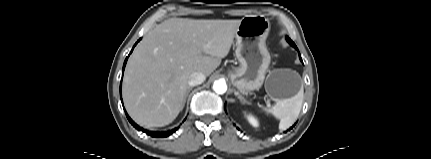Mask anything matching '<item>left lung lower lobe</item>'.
<instances>
[{
  "label": "left lung lower lobe",
  "instance_id": "left-lung-lower-lobe-1",
  "mask_svg": "<svg viewBox=\"0 0 431 159\" xmlns=\"http://www.w3.org/2000/svg\"><path fill=\"white\" fill-rule=\"evenodd\" d=\"M287 39V41L293 46V47H295L296 49H297V47H296V45L290 40V38L289 37H287L286 38ZM298 50V49H297ZM300 56V55H299ZM300 60L302 61V58H301V56H300ZM292 128V127H291Z\"/></svg>",
  "mask_w": 431,
  "mask_h": 159
}]
</instances>
